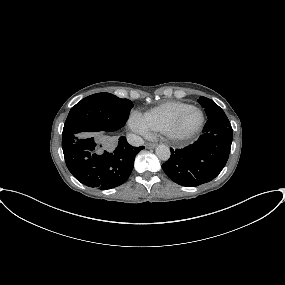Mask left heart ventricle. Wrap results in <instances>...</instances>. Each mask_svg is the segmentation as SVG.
<instances>
[{
    "instance_id": "obj_1",
    "label": "left heart ventricle",
    "mask_w": 285,
    "mask_h": 285,
    "mask_svg": "<svg viewBox=\"0 0 285 285\" xmlns=\"http://www.w3.org/2000/svg\"><path fill=\"white\" fill-rule=\"evenodd\" d=\"M200 122V114L199 112L192 110L188 112L186 115L182 125H181V131L182 132H188L197 127V125Z\"/></svg>"
}]
</instances>
